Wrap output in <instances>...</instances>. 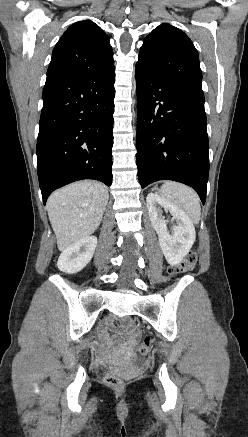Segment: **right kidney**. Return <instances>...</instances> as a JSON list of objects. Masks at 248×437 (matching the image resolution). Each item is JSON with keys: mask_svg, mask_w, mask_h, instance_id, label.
Returning <instances> with one entry per match:
<instances>
[{"mask_svg": "<svg viewBox=\"0 0 248 437\" xmlns=\"http://www.w3.org/2000/svg\"><path fill=\"white\" fill-rule=\"evenodd\" d=\"M97 246V238L88 236L66 248L60 255L57 266L66 273L81 271L91 261Z\"/></svg>", "mask_w": 248, "mask_h": 437, "instance_id": "obj_1", "label": "right kidney"}]
</instances>
